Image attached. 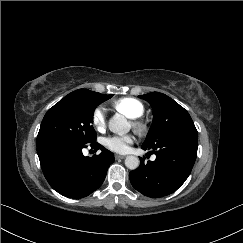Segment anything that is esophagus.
I'll return each mask as SVG.
<instances>
[{"instance_id":"1","label":"esophagus","mask_w":243,"mask_h":243,"mask_svg":"<svg viewBox=\"0 0 243 243\" xmlns=\"http://www.w3.org/2000/svg\"><path fill=\"white\" fill-rule=\"evenodd\" d=\"M115 159H124L125 156L124 155H119V154H115Z\"/></svg>"}]
</instances>
